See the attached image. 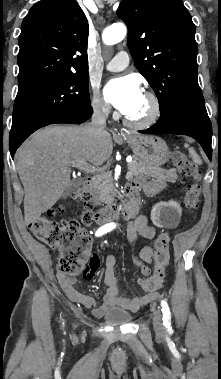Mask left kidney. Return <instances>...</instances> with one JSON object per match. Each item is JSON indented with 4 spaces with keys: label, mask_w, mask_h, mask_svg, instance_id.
<instances>
[{
    "label": "left kidney",
    "mask_w": 221,
    "mask_h": 379,
    "mask_svg": "<svg viewBox=\"0 0 221 379\" xmlns=\"http://www.w3.org/2000/svg\"><path fill=\"white\" fill-rule=\"evenodd\" d=\"M181 215L182 209L175 201L157 203L151 210V220L158 227H176Z\"/></svg>",
    "instance_id": "5707ae66"
}]
</instances>
